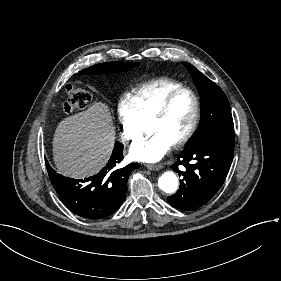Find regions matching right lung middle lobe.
Returning a JSON list of instances; mask_svg holds the SVG:
<instances>
[{
	"label": "right lung middle lobe",
	"instance_id": "right-lung-middle-lobe-1",
	"mask_svg": "<svg viewBox=\"0 0 281 281\" xmlns=\"http://www.w3.org/2000/svg\"><path fill=\"white\" fill-rule=\"evenodd\" d=\"M138 65H139V63H125V62H119V61L106 62V63L96 64L87 69H84V70L78 72L77 75L101 74V73L127 71Z\"/></svg>",
	"mask_w": 281,
	"mask_h": 281
}]
</instances>
